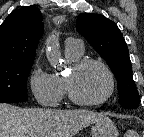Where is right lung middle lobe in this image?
I'll return each mask as SVG.
<instances>
[{
	"label": "right lung middle lobe",
	"mask_w": 144,
	"mask_h": 137,
	"mask_svg": "<svg viewBox=\"0 0 144 137\" xmlns=\"http://www.w3.org/2000/svg\"><path fill=\"white\" fill-rule=\"evenodd\" d=\"M34 59L0 63V103L27 101V77Z\"/></svg>",
	"instance_id": "right-lung-middle-lobe-1"
}]
</instances>
